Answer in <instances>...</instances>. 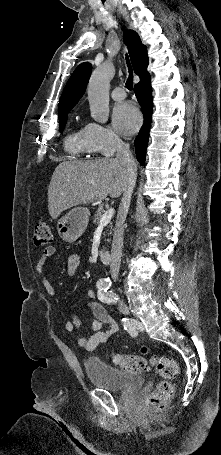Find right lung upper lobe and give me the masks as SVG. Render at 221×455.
I'll list each match as a JSON object with an SVG mask.
<instances>
[{
  "label": "right lung upper lobe",
  "mask_w": 221,
  "mask_h": 455,
  "mask_svg": "<svg viewBox=\"0 0 221 455\" xmlns=\"http://www.w3.org/2000/svg\"><path fill=\"white\" fill-rule=\"evenodd\" d=\"M123 39L128 46L134 72L141 78L148 66L146 46L141 43L138 34L133 30H126ZM90 74L91 64L88 62L80 64L75 69L63 90L58 111L71 110L77 104L86 90Z\"/></svg>",
  "instance_id": "right-lung-upper-lobe-1"
}]
</instances>
